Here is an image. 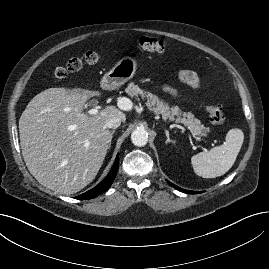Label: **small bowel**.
<instances>
[{"label":"small bowel","instance_id":"c3829d8e","mask_svg":"<svg viewBox=\"0 0 269 269\" xmlns=\"http://www.w3.org/2000/svg\"><path fill=\"white\" fill-rule=\"evenodd\" d=\"M178 79L181 83L188 85L193 89H199L202 86L201 78L192 70H182L178 74ZM164 91L175 96L176 90L170 86H164Z\"/></svg>","mask_w":269,"mask_h":269}]
</instances>
